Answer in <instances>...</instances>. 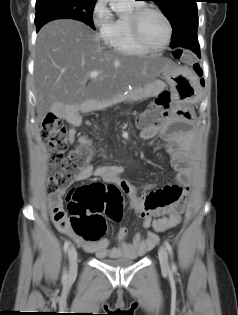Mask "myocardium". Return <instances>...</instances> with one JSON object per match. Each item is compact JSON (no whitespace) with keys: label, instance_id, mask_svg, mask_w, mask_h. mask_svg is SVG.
<instances>
[{"label":"myocardium","instance_id":"f54148a6","mask_svg":"<svg viewBox=\"0 0 238 315\" xmlns=\"http://www.w3.org/2000/svg\"><path fill=\"white\" fill-rule=\"evenodd\" d=\"M149 12H153V13L158 14L164 20L166 27H167L166 40L163 44H161L159 46H152V45L148 44L143 39L142 34H141V28H140L141 20H142L143 16ZM129 23H130V30H131V34L133 36V39L135 40V42L139 46H141L142 48H144L147 51L163 50L171 42L172 34H173L172 24H171L169 18L167 17V15L163 11H161L160 9H158L156 7L141 6L139 8L134 9L130 14Z\"/></svg>","mask_w":238,"mask_h":315}]
</instances>
